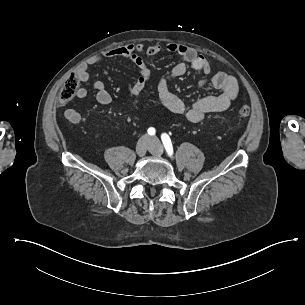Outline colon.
<instances>
[{
    "mask_svg": "<svg viewBox=\"0 0 305 305\" xmlns=\"http://www.w3.org/2000/svg\"><path fill=\"white\" fill-rule=\"evenodd\" d=\"M80 83L81 75L77 70L70 69L65 73L64 83L60 90V102L64 107L71 108L76 104L77 92L79 90ZM130 98L132 100H135L137 98V95L135 93H132L130 95ZM131 106L133 108H136L138 106V103L136 101H133L131 103ZM250 113L251 111L248 107H242L238 110V115L240 117H248Z\"/></svg>",
    "mask_w": 305,
    "mask_h": 305,
    "instance_id": "colon-1",
    "label": "colon"
}]
</instances>
